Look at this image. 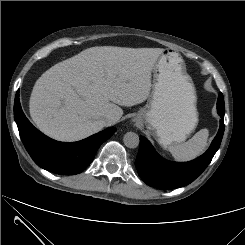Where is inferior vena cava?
<instances>
[{
  "instance_id": "obj_1",
  "label": "inferior vena cava",
  "mask_w": 245,
  "mask_h": 245,
  "mask_svg": "<svg viewBox=\"0 0 245 245\" xmlns=\"http://www.w3.org/2000/svg\"><path fill=\"white\" fill-rule=\"evenodd\" d=\"M119 119L114 116V115H107L105 116V122H107L108 124H115Z\"/></svg>"
}]
</instances>
